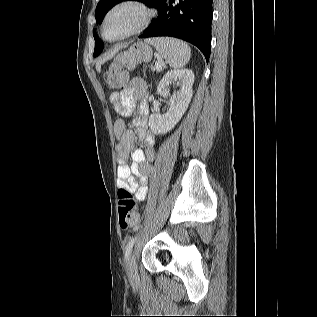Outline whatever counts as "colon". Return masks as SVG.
<instances>
[{
  "mask_svg": "<svg viewBox=\"0 0 317 317\" xmlns=\"http://www.w3.org/2000/svg\"><path fill=\"white\" fill-rule=\"evenodd\" d=\"M127 65V59L124 56L117 57L110 64L105 74V81L111 88H121L126 84L128 75L125 68ZM118 216L119 225L123 229L133 228L138 223L139 214L132 194L124 188L118 191Z\"/></svg>",
  "mask_w": 317,
  "mask_h": 317,
  "instance_id": "colon-1",
  "label": "colon"
}]
</instances>
